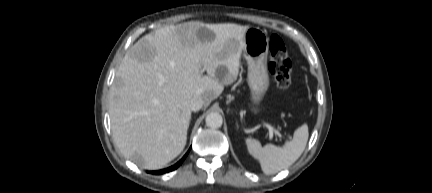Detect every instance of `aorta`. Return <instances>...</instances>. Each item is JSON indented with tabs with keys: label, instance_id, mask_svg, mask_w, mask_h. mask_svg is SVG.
I'll list each match as a JSON object with an SVG mask.
<instances>
[{
	"label": "aorta",
	"instance_id": "1",
	"mask_svg": "<svg viewBox=\"0 0 432 193\" xmlns=\"http://www.w3.org/2000/svg\"><path fill=\"white\" fill-rule=\"evenodd\" d=\"M205 122L208 127L216 129L222 126L223 118L219 113L211 112L206 116Z\"/></svg>",
	"mask_w": 432,
	"mask_h": 193
}]
</instances>
